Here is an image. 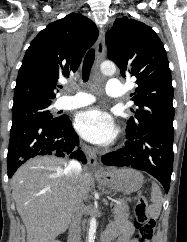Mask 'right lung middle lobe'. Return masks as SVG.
<instances>
[{
  "label": "right lung middle lobe",
  "mask_w": 187,
  "mask_h": 242,
  "mask_svg": "<svg viewBox=\"0 0 187 242\" xmlns=\"http://www.w3.org/2000/svg\"><path fill=\"white\" fill-rule=\"evenodd\" d=\"M51 102H33L12 107V126L29 121H61L64 117L53 118L49 111Z\"/></svg>",
  "instance_id": "1"
}]
</instances>
